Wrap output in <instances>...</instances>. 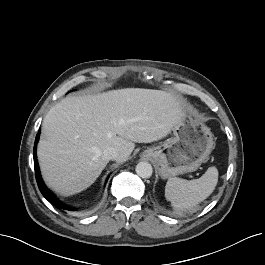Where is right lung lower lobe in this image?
<instances>
[{"label":"right lung lower lobe","instance_id":"98d812e1","mask_svg":"<svg viewBox=\"0 0 265 265\" xmlns=\"http://www.w3.org/2000/svg\"><path fill=\"white\" fill-rule=\"evenodd\" d=\"M39 134L40 131L38 132L36 139H35V144H34V168H35V176H36V180H37V184L39 187L40 192L42 193V195L50 202L52 203L56 208L60 209V210H74V208H71L65 204H63L61 201H59L55 195L53 193H51L47 187L45 186V184L43 183V180L41 178L40 175V171H39V166H38V162H37V156H36V146L39 140Z\"/></svg>","mask_w":265,"mask_h":265}]
</instances>
